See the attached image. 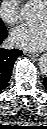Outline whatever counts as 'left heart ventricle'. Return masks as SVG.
I'll return each mask as SVG.
<instances>
[{"label": "left heart ventricle", "mask_w": 47, "mask_h": 129, "mask_svg": "<svg viewBox=\"0 0 47 129\" xmlns=\"http://www.w3.org/2000/svg\"><path fill=\"white\" fill-rule=\"evenodd\" d=\"M46 16H45V12L43 11V16H42V18H45Z\"/></svg>", "instance_id": "obj_1"}]
</instances>
